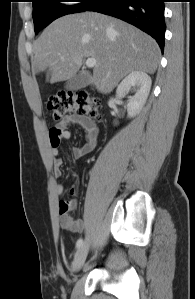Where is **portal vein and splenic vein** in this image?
<instances>
[{
	"label": "portal vein and splenic vein",
	"mask_w": 195,
	"mask_h": 299,
	"mask_svg": "<svg viewBox=\"0 0 195 299\" xmlns=\"http://www.w3.org/2000/svg\"><path fill=\"white\" fill-rule=\"evenodd\" d=\"M95 65H96V59L95 58H88L86 60V66L88 68H93V67H95Z\"/></svg>",
	"instance_id": "obj_1"
}]
</instances>
